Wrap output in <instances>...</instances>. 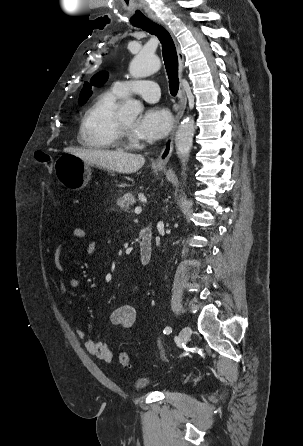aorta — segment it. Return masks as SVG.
<instances>
[{"mask_svg":"<svg viewBox=\"0 0 303 446\" xmlns=\"http://www.w3.org/2000/svg\"><path fill=\"white\" fill-rule=\"evenodd\" d=\"M160 60L153 54L141 51L130 63L129 73L133 78H142L154 74L160 68ZM142 111V105L133 99L125 102L120 110L121 116L135 119ZM194 119L187 117L178 126L175 135V147L183 162L189 157L193 144Z\"/></svg>","mask_w":303,"mask_h":446,"instance_id":"obj_1","label":"aorta"}]
</instances>
